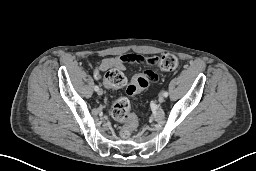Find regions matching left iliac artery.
<instances>
[{"label":"left iliac artery","instance_id":"obj_1","mask_svg":"<svg viewBox=\"0 0 256 171\" xmlns=\"http://www.w3.org/2000/svg\"><path fill=\"white\" fill-rule=\"evenodd\" d=\"M162 94H163L164 97L168 96V92L167 91H164Z\"/></svg>","mask_w":256,"mask_h":171}]
</instances>
